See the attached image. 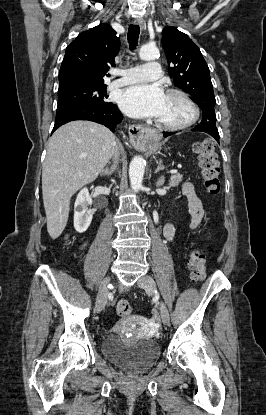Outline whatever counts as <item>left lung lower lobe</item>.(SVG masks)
Here are the masks:
<instances>
[{
    "label": "left lung lower lobe",
    "instance_id": "obj_1",
    "mask_svg": "<svg viewBox=\"0 0 266 415\" xmlns=\"http://www.w3.org/2000/svg\"><path fill=\"white\" fill-rule=\"evenodd\" d=\"M192 131H194V130L192 129ZM174 133L175 132H163L164 137H168V136H170V135H172ZM214 138L217 140V142H219V137H214Z\"/></svg>",
    "mask_w": 266,
    "mask_h": 415
}]
</instances>
